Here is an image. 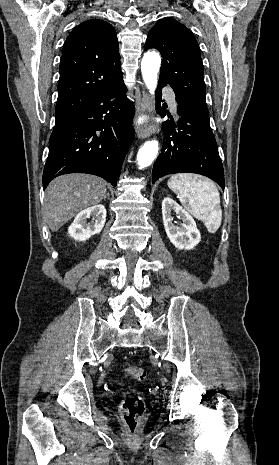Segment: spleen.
Here are the masks:
<instances>
[{"mask_svg": "<svg viewBox=\"0 0 279 465\" xmlns=\"http://www.w3.org/2000/svg\"><path fill=\"white\" fill-rule=\"evenodd\" d=\"M168 186L182 205L204 222L210 233L219 229L222 221L220 195L212 181L191 174H177L170 177Z\"/></svg>", "mask_w": 279, "mask_h": 465, "instance_id": "obj_1", "label": "spleen"}]
</instances>
